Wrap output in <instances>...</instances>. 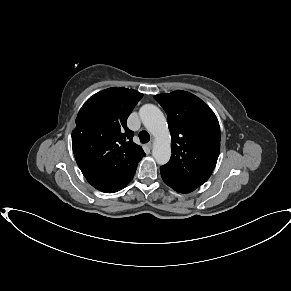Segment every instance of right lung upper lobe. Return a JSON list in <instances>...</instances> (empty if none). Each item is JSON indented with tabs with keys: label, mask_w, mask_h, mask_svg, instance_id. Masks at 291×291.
Masks as SVG:
<instances>
[{
	"label": "right lung upper lobe",
	"mask_w": 291,
	"mask_h": 291,
	"mask_svg": "<svg viewBox=\"0 0 291 291\" xmlns=\"http://www.w3.org/2000/svg\"><path fill=\"white\" fill-rule=\"evenodd\" d=\"M142 97L136 90L112 87L84 103L72 132V147L87 179L122 175L145 156L126 125Z\"/></svg>",
	"instance_id": "obj_1"
}]
</instances>
